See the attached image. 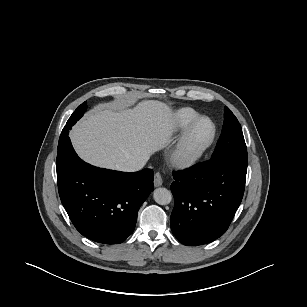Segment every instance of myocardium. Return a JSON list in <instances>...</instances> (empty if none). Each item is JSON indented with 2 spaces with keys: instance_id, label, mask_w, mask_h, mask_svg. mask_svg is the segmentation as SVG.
<instances>
[{
  "instance_id": "obj_1",
  "label": "myocardium",
  "mask_w": 307,
  "mask_h": 307,
  "mask_svg": "<svg viewBox=\"0 0 307 307\" xmlns=\"http://www.w3.org/2000/svg\"><path fill=\"white\" fill-rule=\"evenodd\" d=\"M203 121H208L212 126L209 139L200 147L191 149L190 142L196 127ZM217 136L215 122L206 116H200L194 120L184 131L181 138L171 152L170 160L173 165L179 168H187L197 163L214 143Z\"/></svg>"
}]
</instances>
